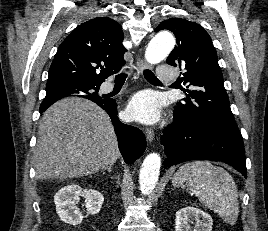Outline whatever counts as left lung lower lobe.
Masks as SVG:
<instances>
[{"mask_svg":"<svg viewBox=\"0 0 268 231\" xmlns=\"http://www.w3.org/2000/svg\"><path fill=\"white\" fill-rule=\"evenodd\" d=\"M161 143L166 167L188 160L222 161L247 177L242 137L224 128L184 122L174 115V122L163 130Z\"/></svg>","mask_w":268,"mask_h":231,"instance_id":"left-lung-lower-lobe-1","label":"left lung lower lobe"}]
</instances>
